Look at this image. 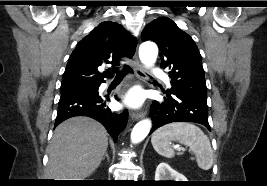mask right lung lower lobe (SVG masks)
<instances>
[{
  "label": "right lung lower lobe",
  "mask_w": 267,
  "mask_h": 186,
  "mask_svg": "<svg viewBox=\"0 0 267 186\" xmlns=\"http://www.w3.org/2000/svg\"><path fill=\"white\" fill-rule=\"evenodd\" d=\"M130 72L132 69L129 66L122 70L123 75ZM99 86L100 84L98 88ZM98 88L75 87L62 91L55 126L70 117L88 116L103 124L116 141L117 136L127 124L128 113L111 111L106 105L109 98L99 96Z\"/></svg>",
  "instance_id": "obj_1"
}]
</instances>
